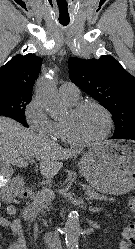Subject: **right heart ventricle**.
I'll return each instance as SVG.
<instances>
[{"instance_id": "right-heart-ventricle-1", "label": "right heart ventricle", "mask_w": 135, "mask_h": 249, "mask_svg": "<svg viewBox=\"0 0 135 249\" xmlns=\"http://www.w3.org/2000/svg\"><path fill=\"white\" fill-rule=\"evenodd\" d=\"M66 101L70 105L76 104V101H69V100H66ZM53 137H55L61 141H64V142H69V139H68L67 134H66L64 122H61V121L54 122Z\"/></svg>"}]
</instances>
